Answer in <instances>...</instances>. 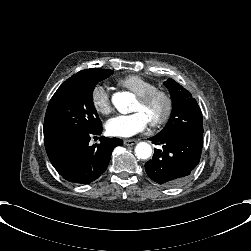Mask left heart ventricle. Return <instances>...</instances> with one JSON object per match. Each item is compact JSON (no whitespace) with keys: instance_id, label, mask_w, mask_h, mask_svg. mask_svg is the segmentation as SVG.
I'll return each instance as SVG.
<instances>
[{"instance_id":"1","label":"left heart ventricle","mask_w":251,"mask_h":251,"mask_svg":"<svg viewBox=\"0 0 251 251\" xmlns=\"http://www.w3.org/2000/svg\"><path fill=\"white\" fill-rule=\"evenodd\" d=\"M135 109L144 110L150 118L160 116L165 110V101L162 97H157L150 104H145L141 100H137Z\"/></svg>"}]
</instances>
